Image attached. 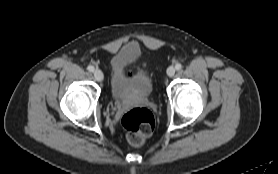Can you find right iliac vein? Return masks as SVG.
<instances>
[{"instance_id": "right-iliac-vein-1", "label": "right iliac vein", "mask_w": 278, "mask_h": 174, "mask_svg": "<svg viewBox=\"0 0 278 174\" xmlns=\"http://www.w3.org/2000/svg\"><path fill=\"white\" fill-rule=\"evenodd\" d=\"M94 77L98 82L103 81L104 75L101 70L97 69L94 71Z\"/></svg>"}]
</instances>
